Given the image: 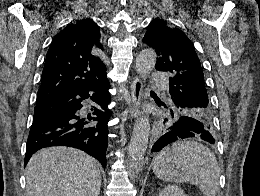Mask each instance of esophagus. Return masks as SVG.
<instances>
[{
    "instance_id": "34e87169",
    "label": "esophagus",
    "mask_w": 260,
    "mask_h": 196,
    "mask_svg": "<svg viewBox=\"0 0 260 196\" xmlns=\"http://www.w3.org/2000/svg\"><path fill=\"white\" fill-rule=\"evenodd\" d=\"M143 84L139 77H136L131 84V98L132 103L130 107V116L137 119L141 114V98H142Z\"/></svg>"
}]
</instances>
